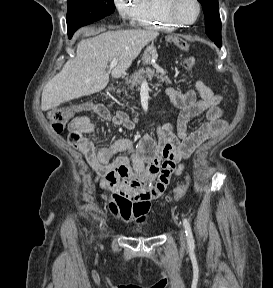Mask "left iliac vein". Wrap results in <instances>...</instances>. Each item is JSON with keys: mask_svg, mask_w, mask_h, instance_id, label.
<instances>
[{"mask_svg": "<svg viewBox=\"0 0 273 288\" xmlns=\"http://www.w3.org/2000/svg\"><path fill=\"white\" fill-rule=\"evenodd\" d=\"M179 236H180V243L183 247L186 246V236H185V232L184 229L180 228V232H179Z\"/></svg>", "mask_w": 273, "mask_h": 288, "instance_id": "left-iliac-vein-1", "label": "left iliac vein"}]
</instances>
